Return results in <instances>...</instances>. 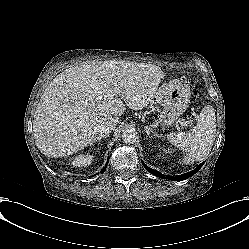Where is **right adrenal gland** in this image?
Segmentation results:
<instances>
[{
	"instance_id": "obj_1",
	"label": "right adrenal gland",
	"mask_w": 249,
	"mask_h": 249,
	"mask_svg": "<svg viewBox=\"0 0 249 249\" xmlns=\"http://www.w3.org/2000/svg\"><path fill=\"white\" fill-rule=\"evenodd\" d=\"M107 136H108V135H106V134H102V135L100 134V135L97 137V139H96V140L98 141V145L101 144V139H102V138H106Z\"/></svg>"
}]
</instances>
